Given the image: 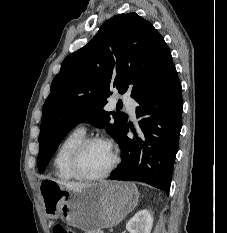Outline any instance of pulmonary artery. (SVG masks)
Masks as SVG:
<instances>
[{
    "instance_id": "pulmonary-artery-1",
    "label": "pulmonary artery",
    "mask_w": 227,
    "mask_h": 233,
    "mask_svg": "<svg viewBox=\"0 0 227 233\" xmlns=\"http://www.w3.org/2000/svg\"><path fill=\"white\" fill-rule=\"evenodd\" d=\"M127 111L129 112V114L132 116V117H135V109H136V102L129 98V97H124L122 99ZM77 130L79 131H82V132H85V127L83 124H79Z\"/></svg>"
}]
</instances>
